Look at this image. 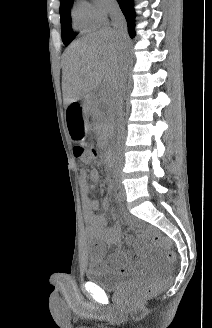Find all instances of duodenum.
<instances>
[{"label": "duodenum", "instance_id": "410a0bca", "mask_svg": "<svg viewBox=\"0 0 212 328\" xmlns=\"http://www.w3.org/2000/svg\"><path fill=\"white\" fill-rule=\"evenodd\" d=\"M106 161H107V162L110 161L108 154H106Z\"/></svg>", "mask_w": 212, "mask_h": 328}]
</instances>
